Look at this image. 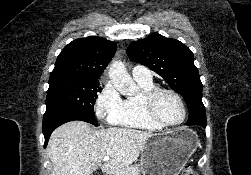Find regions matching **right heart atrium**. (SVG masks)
<instances>
[{
	"label": "right heart atrium",
	"mask_w": 251,
	"mask_h": 175,
	"mask_svg": "<svg viewBox=\"0 0 251 175\" xmlns=\"http://www.w3.org/2000/svg\"><path fill=\"white\" fill-rule=\"evenodd\" d=\"M123 107L124 101L115 85L111 81L103 79L93 106L98 120L108 124L117 123Z\"/></svg>",
	"instance_id": "1"
}]
</instances>
